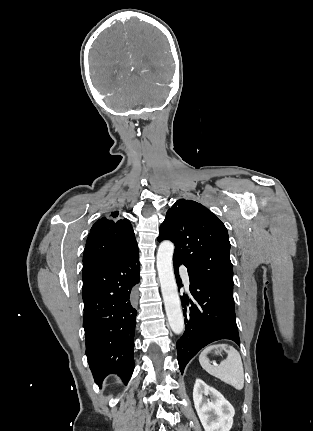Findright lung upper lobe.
<instances>
[{
    "mask_svg": "<svg viewBox=\"0 0 313 431\" xmlns=\"http://www.w3.org/2000/svg\"><path fill=\"white\" fill-rule=\"evenodd\" d=\"M119 212L100 218L91 228L83 256V267L120 259L138 250L133 228Z\"/></svg>",
    "mask_w": 313,
    "mask_h": 431,
    "instance_id": "1",
    "label": "right lung upper lobe"
}]
</instances>
